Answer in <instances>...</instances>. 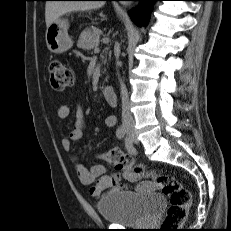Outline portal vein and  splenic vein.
Listing matches in <instances>:
<instances>
[{
    "instance_id": "1",
    "label": "portal vein and splenic vein",
    "mask_w": 231,
    "mask_h": 231,
    "mask_svg": "<svg viewBox=\"0 0 231 231\" xmlns=\"http://www.w3.org/2000/svg\"><path fill=\"white\" fill-rule=\"evenodd\" d=\"M94 51H95V52H99V48L96 47V48L94 49Z\"/></svg>"
}]
</instances>
